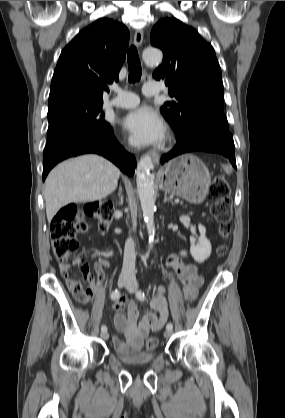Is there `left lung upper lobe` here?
<instances>
[{"mask_svg": "<svg viewBox=\"0 0 285 418\" xmlns=\"http://www.w3.org/2000/svg\"><path fill=\"white\" fill-rule=\"evenodd\" d=\"M151 44L163 51V62L154 71L165 80L170 96L160 111L183 140L204 127L229 130L223 110L220 65L211 44L176 18L160 20L152 29Z\"/></svg>", "mask_w": 285, "mask_h": 418, "instance_id": "5c2ea615", "label": "left lung upper lobe"}]
</instances>
